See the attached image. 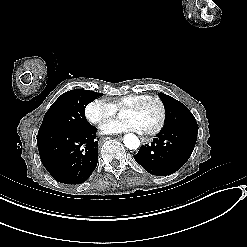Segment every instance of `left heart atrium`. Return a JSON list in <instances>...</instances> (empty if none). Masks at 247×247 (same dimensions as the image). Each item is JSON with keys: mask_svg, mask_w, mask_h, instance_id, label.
<instances>
[{"mask_svg": "<svg viewBox=\"0 0 247 247\" xmlns=\"http://www.w3.org/2000/svg\"><path fill=\"white\" fill-rule=\"evenodd\" d=\"M105 133H120L125 131H141L142 128L135 118H127L102 127Z\"/></svg>", "mask_w": 247, "mask_h": 247, "instance_id": "39dd6f15", "label": "left heart atrium"}]
</instances>
